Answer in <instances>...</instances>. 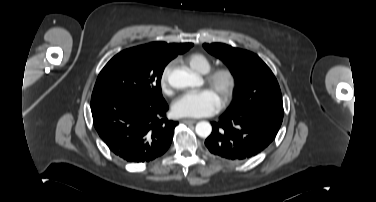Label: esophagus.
<instances>
[{
	"label": "esophagus",
	"mask_w": 376,
	"mask_h": 202,
	"mask_svg": "<svg viewBox=\"0 0 376 202\" xmlns=\"http://www.w3.org/2000/svg\"><path fill=\"white\" fill-rule=\"evenodd\" d=\"M182 122L186 123V124H194L196 122V120H193V119H183Z\"/></svg>",
	"instance_id": "obj_1"
}]
</instances>
